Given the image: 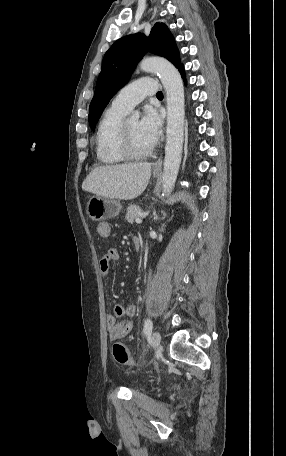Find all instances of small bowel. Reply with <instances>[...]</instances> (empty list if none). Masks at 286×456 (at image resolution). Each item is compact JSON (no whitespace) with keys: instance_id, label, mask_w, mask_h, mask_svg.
Segmentation results:
<instances>
[{"instance_id":"c3829d8e","label":"small bowel","mask_w":286,"mask_h":456,"mask_svg":"<svg viewBox=\"0 0 286 456\" xmlns=\"http://www.w3.org/2000/svg\"><path fill=\"white\" fill-rule=\"evenodd\" d=\"M97 232L101 237H109L111 227L108 223L102 222L97 226ZM119 259V252L116 248L108 249L99 261V268L103 276L107 277L110 271L112 262ZM136 313L134 304H117L113 308V312L107 316V330L112 340H118L126 337L132 330V323L129 320L118 322L119 318H131Z\"/></svg>"}]
</instances>
